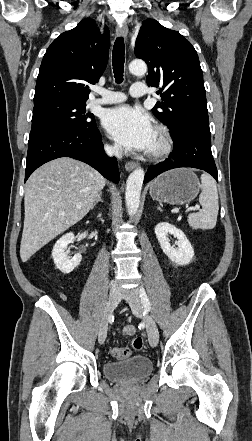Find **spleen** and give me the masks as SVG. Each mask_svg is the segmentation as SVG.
Returning <instances> with one entry per match:
<instances>
[{
	"instance_id": "3e777b00",
	"label": "spleen",
	"mask_w": 252,
	"mask_h": 441,
	"mask_svg": "<svg viewBox=\"0 0 252 441\" xmlns=\"http://www.w3.org/2000/svg\"><path fill=\"white\" fill-rule=\"evenodd\" d=\"M199 203L202 210L188 215V223L192 229H213L218 216V191L215 180L208 174L201 175V194Z\"/></svg>"
}]
</instances>
